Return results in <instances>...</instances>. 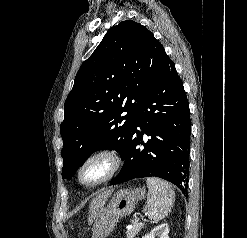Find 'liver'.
<instances>
[{"instance_id":"6515ba94","label":"liver","mask_w":247,"mask_h":238,"mask_svg":"<svg viewBox=\"0 0 247 238\" xmlns=\"http://www.w3.org/2000/svg\"><path fill=\"white\" fill-rule=\"evenodd\" d=\"M113 193V189L104 191L100 193L97 197H95L89 207V223H92L95 218L99 216V214L102 212L104 205L108 198Z\"/></svg>"}]
</instances>
